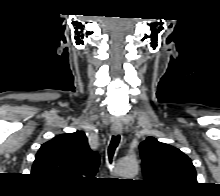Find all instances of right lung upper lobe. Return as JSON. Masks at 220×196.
Instances as JSON below:
<instances>
[{"label": "right lung upper lobe", "instance_id": "cb5924a9", "mask_svg": "<svg viewBox=\"0 0 220 196\" xmlns=\"http://www.w3.org/2000/svg\"><path fill=\"white\" fill-rule=\"evenodd\" d=\"M99 156L82 131L61 134L44 143L37 152L31 174L43 182L72 188L92 178Z\"/></svg>", "mask_w": 220, "mask_h": 196}]
</instances>
